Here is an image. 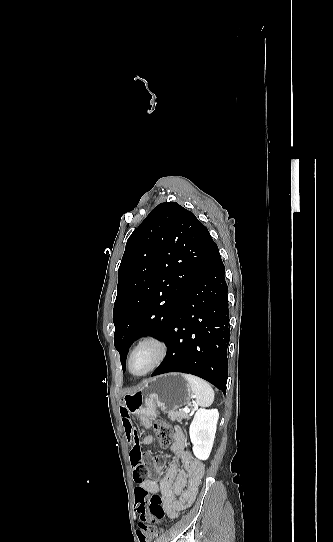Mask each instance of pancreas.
<instances>
[{
    "label": "pancreas",
    "instance_id": "1",
    "mask_svg": "<svg viewBox=\"0 0 333 542\" xmlns=\"http://www.w3.org/2000/svg\"><path fill=\"white\" fill-rule=\"evenodd\" d=\"M168 414L169 420H172V422H181V420H190L189 414H185V412H182V410H170V412H166Z\"/></svg>",
    "mask_w": 333,
    "mask_h": 542
}]
</instances>
